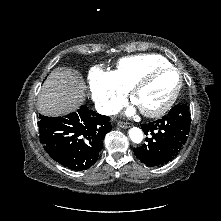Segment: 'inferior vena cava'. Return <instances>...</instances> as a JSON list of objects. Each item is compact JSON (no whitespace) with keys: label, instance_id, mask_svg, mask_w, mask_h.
Listing matches in <instances>:
<instances>
[{"label":"inferior vena cava","instance_id":"obj_1","mask_svg":"<svg viewBox=\"0 0 221 221\" xmlns=\"http://www.w3.org/2000/svg\"><path fill=\"white\" fill-rule=\"evenodd\" d=\"M98 113L102 114V115H115L119 112V109L116 107H113L109 104H105V105H98L96 107Z\"/></svg>","mask_w":221,"mask_h":221}]
</instances>
